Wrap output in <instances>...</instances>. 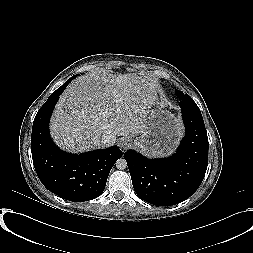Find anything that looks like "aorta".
Masks as SVG:
<instances>
[{
	"mask_svg": "<svg viewBox=\"0 0 253 253\" xmlns=\"http://www.w3.org/2000/svg\"><path fill=\"white\" fill-rule=\"evenodd\" d=\"M115 165L117 169L124 170L127 167V161L124 158H119Z\"/></svg>",
	"mask_w": 253,
	"mask_h": 253,
	"instance_id": "obj_1",
	"label": "aorta"
}]
</instances>
